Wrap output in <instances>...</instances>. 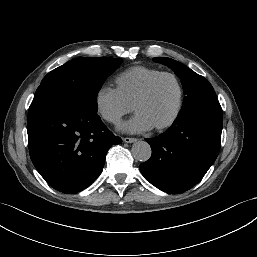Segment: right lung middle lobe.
Instances as JSON below:
<instances>
[{"label":"right lung middle lobe","instance_id":"right-lung-middle-lobe-1","mask_svg":"<svg viewBox=\"0 0 257 257\" xmlns=\"http://www.w3.org/2000/svg\"><path fill=\"white\" fill-rule=\"evenodd\" d=\"M120 58L83 57L68 62L41 81L30 107L70 104L97 112V93L121 64Z\"/></svg>","mask_w":257,"mask_h":257}]
</instances>
